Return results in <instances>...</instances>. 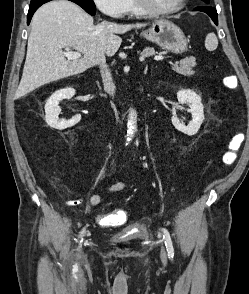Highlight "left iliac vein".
<instances>
[{"label": "left iliac vein", "mask_w": 249, "mask_h": 294, "mask_svg": "<svg viewBox=\"0 0 249 294\" xmlns=\"http://www.w3.org/2000/svg\"><path fill=\"white\" fill-rule=\"evenodd\" d=\"M161 259L162 261H166V252L164 247L161 248Z\"/></svg>", "instance_id": "4c4485c4"}]
</instances>
